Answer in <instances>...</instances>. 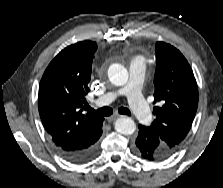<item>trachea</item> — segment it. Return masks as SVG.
<instances>
[{
	"mask_svg": "<svg viewBox=\"0 0 223 188\" xmlns=\"http://www.w3.org/2000/svg\"><path fill=\"white\" fill-rule=\"evenodd\" d=\"M88 112H89V114H92V115H95V116H100V117H107V116H110L111 114H113V110L110 107H103V108H100L98 110H94V109L89 107ZM118 112L120 114H123V115H128V116L131 115L130 110L128 108H125V107H120L118 109Z\"/></svg>",
	"mask_w": 223,
	"mask_h": 188,
	"instance_id": "3493384b",
	"label": "trachea"
}]
</instances>
